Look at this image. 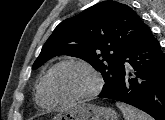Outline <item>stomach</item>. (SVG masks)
I'll return each mask as SVG.
<instances>
[{
	"label": "stomach",
	"mask_w": 165,
	"mask_h": 120,
	"mask_svg": "<svg viewBox=\"0 0 165 120\" xmlns=\"http://www.w3.org/2000/svg\"><path fill=\"white\" fill-rule=\"evenodd\" d=\"M53 120H118V115L108 107L80 103L57 114Z\"/></svg>",
	"instance_id": "obj_1"
}]
</instances>
